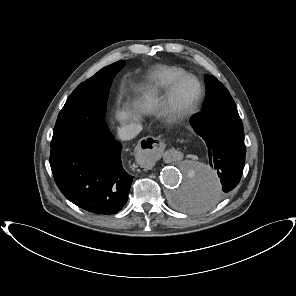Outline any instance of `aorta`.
Returning a JSON list of instances; mask_svg holds the SVG:
<instances>
[{
    "mask_svg": "<svg viewBox=\"0 0 296 296\" xmlns=\"http://www.w3.org/2000/svg\"><path fill=\"white\" fill-rule=\"evenodd\" d=\"M169 204L183 213H206L221 198V183L206 164L189 162L179 167H165L160 175Z\"/></svg>",
    "mask_w": 296,
    "mask_h": 296,
    "instance_id": "aorta-1",
    "label": "aorta"
}]
</instances>
